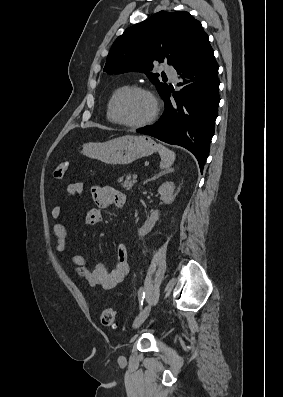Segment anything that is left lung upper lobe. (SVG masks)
I'll return each mask as SVG.
<instances>
[{
  "label": "left lung upper lobe",
  "mask_w": 283,
  "mask_h": 397,
  "mask_svg": "<svg viewBox=\"0 0 283 397\" xmlns=\"http://www.w3.org/2000/svg\"><path fill=\"white\" fill-rule=\"evenodd\" d=\"M209 45L201 23L188 12L160 11L129 27L113 43L104 67L108 74L143 72L162 94L168 85L151 73L154 63L167 62L176 70Z\"/></svg>",
  "instance_id": "obj_1"
}]
</instances>
